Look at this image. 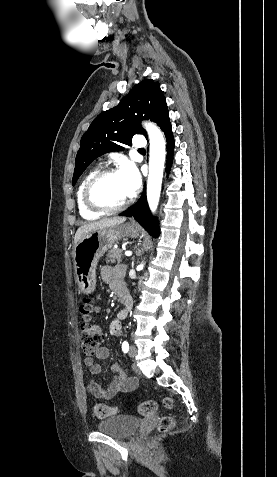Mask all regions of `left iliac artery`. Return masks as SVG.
I'll return each instance as SVG.
<instances>
[{
	"mask_svg": "<svg viewBox=\"0 0 277 477\" xmlns=\"http://www.w3.org/2000/svg\"><path fill=\"white\" fill-rule=\"evenodd\" d=\"M122 350L124 353H127L128 350H129V344L127 341H124L123 344H122Z\"/></svg>",
	"mask_w": 277,
	"mask_h": 477,
	"instance_id": "obj_1",
	"label": "left iliac artery"
}]
</instances>
